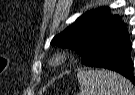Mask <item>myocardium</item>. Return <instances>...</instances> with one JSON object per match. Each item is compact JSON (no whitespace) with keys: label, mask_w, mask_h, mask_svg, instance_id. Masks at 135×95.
Listing matches in <instances>:
<instances>
[{"label":"myocardium","mask_w":135,"mask_h":95,"mask_svg":"<svg viewBox=\"0 0 135 95\" xmlns=\"http://www.w3.org/2000/svg\"><path fill=\"white\" fill-rule=\"evenodd\" d=\"M66 59L65 53H57L55 56H53L50 60V64L52 66H58L62 64V62Z\"/></svg>","instance_id":"myocardium-1"}]
</instances>
